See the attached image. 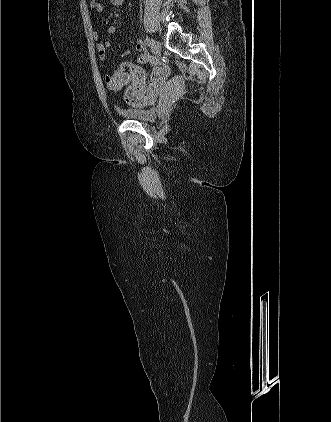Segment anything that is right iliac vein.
Here are the masks:
<instances>
[{"label": "right iliac vein", "mask_w": 331, "mask_h": 422, "mask_svg": "<svg viewBox=\"0 0 331 422\" xmlns=\"http://www.w3.org/2000/svg\"><path fill=\"white\" fill-rule=\"evenodd\" d=\"M149 42H150L151 50H152L153 54L156 57H159L160 56V45H159L158 41L151 38V39H149Z\"/></svg>", "instance_id": "63e3f726"}]
</instances>
